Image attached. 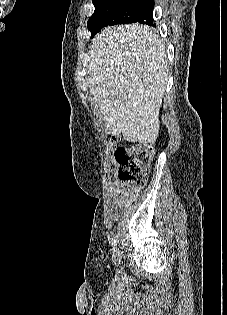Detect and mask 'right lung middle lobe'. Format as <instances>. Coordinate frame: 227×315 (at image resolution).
<instances>
[{"mask_svg":"<svg viewBox=\"0 0 227 315\" xmlns=\"http://www.w3.org/2000/svg\"><path fill=\"white\" fill-rule=\"evenodd\" d=\"M93 4L95 11L87 22L91 38L108 25L135 22L153 25L154 0H99Z\"/></svg>","mask_w":227,"mask_h":315,"instance_id":"dd1d6c3e","label":"right lung middle lobe"}]
</instances>
